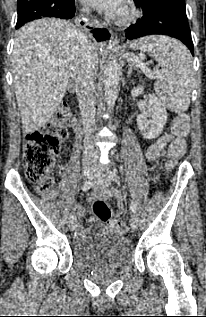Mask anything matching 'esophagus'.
Listing matches in <instances>:
<instances>
[{"instance_id": "34e87169", "label": "esophagus", "mask_w": 206, "mask_h": 317, "mask_svg": "<svg viewBox=\"0 0 206 317\" xmlns=\"http://www.w3.org/2000/svg\"><path fill=\"white\" fill-rule=\"evenodd\" d=\"M94 38L100 43L105 44L114 39L113 33L104 24H97L94 29Z\"/></svg>"}]
</instances>
